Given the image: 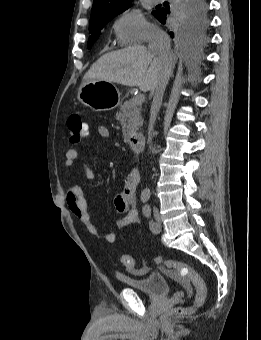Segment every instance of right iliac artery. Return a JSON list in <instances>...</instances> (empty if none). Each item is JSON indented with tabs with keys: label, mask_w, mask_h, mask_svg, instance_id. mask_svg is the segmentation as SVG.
<instances>
[{
	"label": "right iliac artery",
	"mask_w": 261,
	"mask_h": 340,
	"mask_svg": "<svg viewBox=\"0 0 261 340\" xmlns=\"http://www.w3.org/2000/svg\"><path fill=\"white\" fill-rule=\"evenodd\" d=\"M149 199V194L148 193H142L141 194V201L145 203Z\"/></svg>",
	"instance_id": "right-iliac-artery-1"
}]
</instances>
